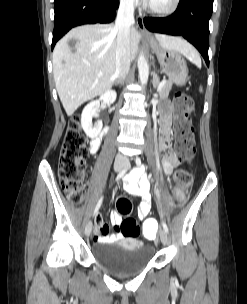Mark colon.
<instances>
[{"instance_id":"colon-1","label":"colon","mask_w":247,"mask_h":304,"mask_svg":"<svg viewBox=\"0 0 247 304\" xmlns=\"http://www.w3.org/2000/svg\"><path fill=\"white\" fill-rule=\"evenodd\" d=\"M174 134L175 147L181 162H189L195 152L191 113L194 109L193 100L182 93L174 98ZM88 154L85 139L81 131L80 117L74 115L67 128V132L60 151L58 174L60 184L69 200L80 204L84 199L83 180L85 175V158ZM191 183V175L180 167L174 176V193L178 204L186 198L187 190ZM132 211V203L128 198L122 197L117 201V213L127 216ZM156 222L148 220L145 223L142 238H154ZM121 233L128 238H136L141 233V228L135 219L127 218L120 225Z\"/></svg>"}]
</instances>
